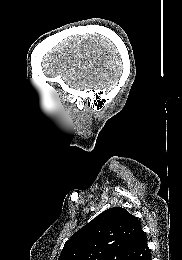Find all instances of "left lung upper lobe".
<instances>
[{
	"instance_id": "1",
	"label": "left lung upper lobe",
	"mask_w": 182,
	"mask_h": 260,
	"mask_svg": "<svg viewBox=\"0 0 182 260\" xmlns=\"http://www.w3.org/2000/svg\"><path fill=\"white\" fill-rule=\"evenodd\" d=\"M140 229L126 209H107L69 238L58 260H121Z\"/></svg>"
}]
</instances>
